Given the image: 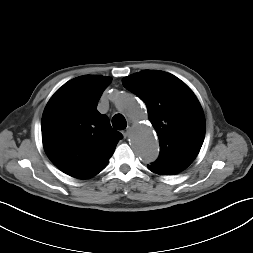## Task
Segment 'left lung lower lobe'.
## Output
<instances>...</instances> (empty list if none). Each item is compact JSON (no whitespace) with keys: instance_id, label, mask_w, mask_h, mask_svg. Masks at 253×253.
Here are the masks:
<instances>
[{"instance_id":"1","label":"left lung lower lobe","mask_w":253,"mask_h":253,"mask_svg":"<svg viewBox=\"0 0 253 253\" xmlns=\"http://www.w3.org/2000/svg\"><path fill=\"white\" fill-rule=\"evenodd\" d=\"M147 168L156 173V174H160V175H173V174H176L178 172L176 171H172V170H168V169H162V168H158L156 166H153V165H147Z\"/></svg>"}]
</instances>
